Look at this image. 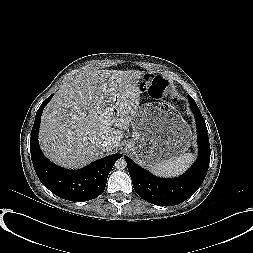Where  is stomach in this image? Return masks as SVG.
I'll list each match as a JSON object with an SVG mask.
<instances>
[{
	"label": "stomach",
	"mask_w": 253,
	"mask_h": 253,
	"mask_svg": "<svg viewBox=\"0 0 253 253\" xmlns=\"http://www.w3.org/2000/svg\"><path fill=\"white\" fill-rule=\"evenodd\" d=\"M130 125L133 134L126 149L147 168L183 155L192 141L189 125L169 102L142 104Z\"/></svg>",
	"instance_id": "0dacf381"
}]
</instances>
